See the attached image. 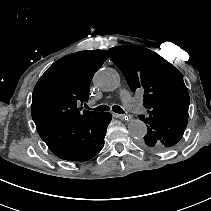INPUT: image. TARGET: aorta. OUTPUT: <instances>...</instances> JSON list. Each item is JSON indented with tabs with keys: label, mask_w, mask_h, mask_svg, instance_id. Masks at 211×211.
<instances>
[{
	"label": "aorta",
	"mask_w": 211,
	"mask_h": 211,
	"mask_svg": "<svg viewBox=\"0 0 211 211\" xmlns=\"http://www.w3.org/2000/svg\"><path fill=\"white\" fill-rule=\"evenodd\" d=\"M93 83L104 91H113L120 85V76L112 68H103L95 73ZM128 130L132 137L138 139L146 135L147 126L142 120L132 119L128 124Z\"/></svg>",
	"instance_id": "1"
}]
</instances>
